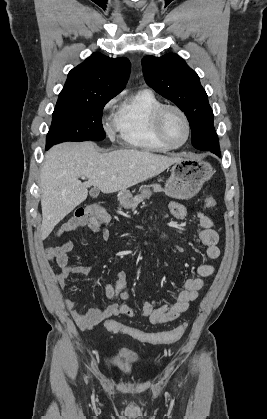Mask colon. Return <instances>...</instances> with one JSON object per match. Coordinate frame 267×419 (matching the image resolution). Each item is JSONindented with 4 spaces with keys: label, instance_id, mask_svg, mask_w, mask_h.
<instances>
[{
    "label": "colon",
    "instance_id": "1",
    "mask_svg": "<svg viewBox=\"0 0 267 419\" xmlns=\"http://www.w3.org/2000/svg\"><path fill=\"white\" fill-rule=\"evenodd\" d=\"M215 205L216 200L213 197H208L204 201V206L206 208H212ZM76 217L94 218L102 224H108L110 222V216L107 213V211L103 207L96 204L80 208L76 211ZM105 328L110 332H120L129 335L134 339H137L144 343L166 344L176 342L179 339H181L187 329V324L184 323L171 331L147 333L137 328L123 325L116 320L110 319L105 322Z\"/></svg>",
    "mask_w": 267,
    "mask_h": 419
}]
</instances>
